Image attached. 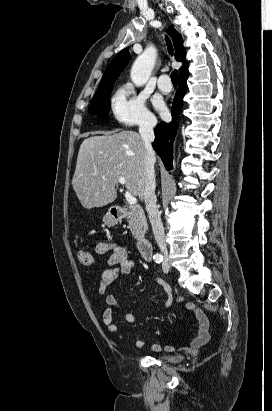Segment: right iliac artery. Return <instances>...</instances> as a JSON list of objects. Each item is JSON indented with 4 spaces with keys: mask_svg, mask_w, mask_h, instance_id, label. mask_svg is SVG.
<instances>
[{
    "mask_svg": "<svg viewBox=\"0 0 272 411\" xmlns=\"http://www.w3.org/2000/svg\"><path fill=\"white\" fill-rule=\"evenodd\" d=\"M154 261L156 263H161L163 261V257L162 256H156V257H154Z\"/></svg>",
    "mask_w": 272,
    "mask_h": 411,
    "instance_id": "1",
    "label": "right iliac artery"
}]
</instances>
